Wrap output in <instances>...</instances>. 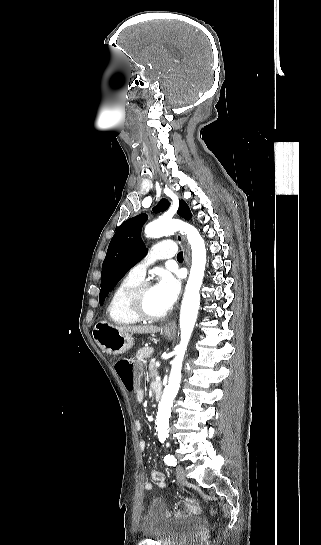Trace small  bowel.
<instances>
[{"instance_id": "obj_1", "label": "small bowel", "mask_w": 321, "mask_h": 545, "mask_svg": "<svg viewBox=\"0 0 321 545\" xmlns=\"http://www.w3.org/2000/svg\"><path fill=\"white\" fill-rule=\"evenodd\" d=\"M155 383V382H154ZM153 383V384H154ZM136 400L138 402H142L144 400V393L142 390H137L136 391ZM135 427L137 429V431H141L142 430V424L141 422L139 421H136L135 422ZM147 447V444L145 441H140L139 443V448L141 451H144ZM151 479L154 483H156V485L159 487V488H164L165 487V478H164V474L159 471V470H152L151 472ZM144 489L146 491H150L153 489V483L152 482H146L144 484Z\"/></svg>"}]
</instances>
